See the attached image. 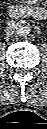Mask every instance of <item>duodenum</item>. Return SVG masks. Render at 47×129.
<instances>
[{"label": "duodenum", "mask_w": 47, "mask_h": 129, "mask_svg": "<svg viewBox=\"0 0 47 129\" xmlns=\"http://www.w3.org/2000/svg\"><path fill=\"white\" fill-rule=\"evenodd\" d=\"M7 11L9 16L15 19L29 17L31 15L37 19H42L46 14L45 10L41 7L23 5H10Z\"/></svg>", "instance_id": "410a0bca"}]
</instances>
